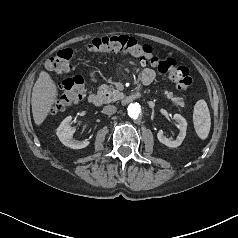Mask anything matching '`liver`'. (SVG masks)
<instances>
[{"label":"liver","instance_id":"liver-1","mask_svg":"<svg viewBox=\"0 0 238 238\" xmlns=\"http://www.w3.org/2000/svg\"><path fill=\"white\" fill-rule=\"evenodd\" d=\"M57 86L50 75L41 71L34 84L31 98L32 114L37 126L41 125L56 102Z\"/></svg>","mask_w":238,"mask_h":238}]
</instances>
